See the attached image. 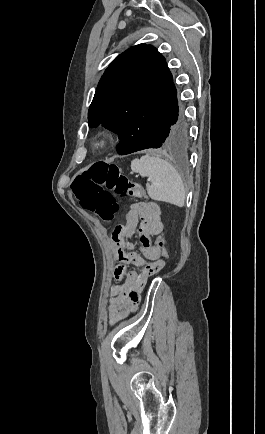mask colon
I'll use <instances>...</instances> for the list:
<instances>
[{"instance_id":"obj_1","label":"colon","mask_w":265,"mask_h":434,"mask_svg":"<svg viewBox=\"0 0 265 434\" xmlns=\"http://www.w3.org/2000/svg\"><path fill=\"white\" fill-rule=\"evenodd\" d=\"M74 187L77 193H72V202H80L81 206L94 212L101 220L112 222L118 213L119 205L114 195L123 198H141L143 187L121 173L118 165L87 164L85 172H76ZM155 247L161 248L163 261H166V244L162 234L156 236Z\"/></svg>"}]
</instances>
